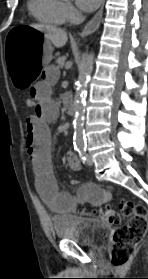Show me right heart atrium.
<instances>
[{"label": "right heart atrium", "mask_w": 148, "mask_h": 279, "mask_svg": "<svg viewBox=\"0 0 148 279\" xmlns=\"http://www.w3.org/2000/svg\"><path fill=\"white\" fill-rule=\"evenodd\" d=\"M63 11L68 20H73L78 16L76 9L70 3H63Z\"/></svg>", "instance_id": "1"}]
</instances>
